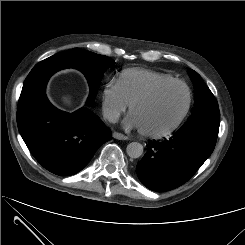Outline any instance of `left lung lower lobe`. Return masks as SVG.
Returning a JSON list of instances; mask_svg holds the SVG:
<instances>
[{"instance_id":"obj_1","label":"left lung lower lobe","mask_w":245,"mask_h":245,"mask_svg":"<svg viewBox=\"0 0 245 245\" xmlns=\"http://www.w3.org/2000/svg\"><path fill=\"white\" fill-rule=\"evenodd\" d=\"M217 136L204 129H189L177 131L169 140L149 143L136 166L138 178L153 191L181 186L211 155Z\"/></svg>"}]
</instances>
